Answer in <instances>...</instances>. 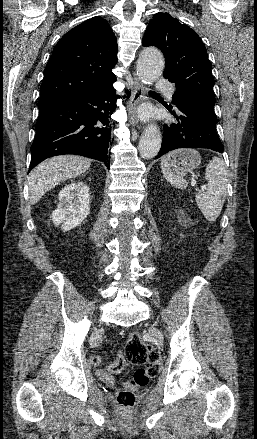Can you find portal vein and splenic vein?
<instances>
[{
    "label": "portal vein and splenic vein",
    "instance_id": "portal-vein-and-splenic-vein-1",
    "mask_svg": "<svg viewBox=\"0 0 257 439\" xmlns=\"http://www.w3.org/2000/svg\"><path fill=\"white\" fill-rule=\"evenodd\" d=\"M191 185H192V186H195V185H196V180H195L194 178H191ZM201 189H202V190H205L206 187H205V186H201Z\"/></svg>",
    "mask_w": 257,
    "mask_h": 439
}]
</instances>
